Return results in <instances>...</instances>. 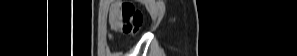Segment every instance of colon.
Wrapping results in <instances>:
<instances>
[{
	"instance_id": "obj_1",
	"label": "colon",
	"mask_w": 297,
	"mask_h": 56,
	"mask_svg": "<svg viewBox=\"0 0 297 56\" xmlns=\"http://www.w3.org/2000/svg\"><path fill=\"white\" fill-rule=\"evenodd\" d=\"M120 17L119 30L126 35H134L143 23L142 12L131 2L125 1L118 5Z\"/></svg>"
}]
</instances>
